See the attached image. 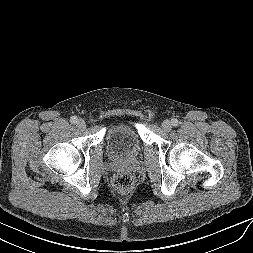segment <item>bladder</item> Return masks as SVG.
<instances>
[{"instance_id": "31cf9c89", "label": "bladder", "mask_w": 253, "mask_h": 253, "mask_svg": "<svg viewBox=\"0 0 253 253\" xmlns=\"http://www.w3.org/2000/svg\"><path fill=\"white\" fill-rule=\"evenodd\" d=\"M105 145L109 154L115 158H133L141 149L140 132L131 123H112L106 130Z\"/></svg>"}]
</instances>
